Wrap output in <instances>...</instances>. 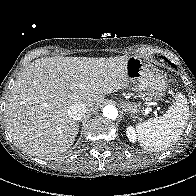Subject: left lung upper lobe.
I'll use <instances>...</instances> for the list:
<instances>
[{"mask_svg": "<svg viewBox=\"0 0 196 196\" xmlns=\"http://www.w3.org/2000/svg\"><path fill=\"white\" fill-rule=\"evenodd\" d=\"M166 61H168L169 64H171L173 67L175 66L173 63H171L169 60H167L166 58H164Z\"/></svg>", "mask_w": 196, "mask_h": 196, "instance_id": "5c2ea615", "label": "left lung upper lobe"}]
</instances>
